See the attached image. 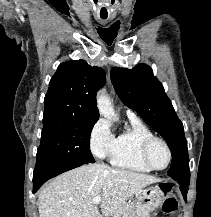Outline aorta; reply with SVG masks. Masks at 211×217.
I'll use <instances>...</instances> for the list:
<instances>
[{
    "instance_id": "obj_1",
    "label": "aorta",
    "mask_w": 211,
    "mask_h": 217,
    "mask_svg": "<svg viewBox=\"0 0 211 217\" xmlns=\"http://www.w3.org/2000/svg\"><path fill=\"white\" fill-rule=\"evenodd\" d=\"M97 107L99 113L106 119L118 120V117L114 111L113 105L107 95L103 92L99 93L97 96Z\"/></svg>"
}]
</instances>
